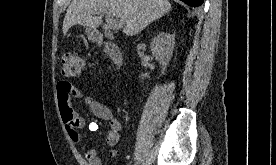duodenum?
<instances>
[{
    "label": "duodenum",
    "mask_w": 276,
    "mask_h": 165,
    "mask_svg": "<svg viewBox=\"0 0 276 165\" xmlns=\"http://www.w3.org/2000/svg\"><path fill=\"white\" fill-rule=\"evenodd\" d=\"M93 39L97 43L102 44L104 51L110 56V58L113 60L115 65L117 66L121 65L122 54H121L120 48L116 44L110 43V42H104L103 37L100 33H95L93 35Z\"/></svg>",
    "instance_id": "410a0bca"
}]
</instances>
